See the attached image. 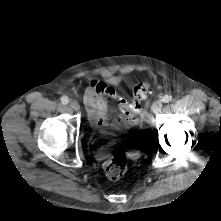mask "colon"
Instances as JSON below:
<instances>
[{
  "label": "colon",
  "mask_w": 221,
  "mask_h": 221,
  "mask_svg": "<svg viewBox=\"0 0 221 221\" xmlns=\"http://www.w3.org/2000/svg\"><path fill=\"white\" fill-rule=\"evenodd\" d=\"M93 81H96V80H93ZM149 91H150V84L148 82H143V83L136 85L133 89V99L130 103H128V110L135 112V113L140 112L141 103L147 98ZM127 165H128V158H127L126 153L122 150H117L104 163L103 167H104L106 176L110 180H118L126 172Z\"/></svg>",
  "instance_id": "obj_1"
}]
</instances>
